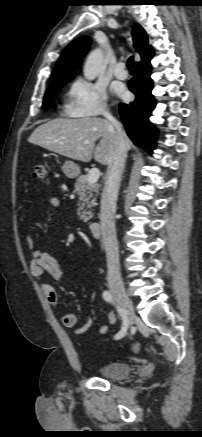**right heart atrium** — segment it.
Returning a JSON list of instances; mask_svg holds the SVG:
<instances>
[{"instance_id": "1", "label": "right heart atrium", "mask_w": 202, "mask_h": 437, "mask_svg": "<svg viewBox=\"0 0 202 437\" xmlns=\"http://www.w3.org/2000/svg\"><path fill=\"white\" fill-rule=\"evenodd\" d=\"M65 111L72 117L93 118L107 114L108 95L99 84L84 80H75L67 94Z\"/></svg>"}]
</instances>
